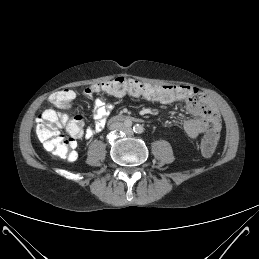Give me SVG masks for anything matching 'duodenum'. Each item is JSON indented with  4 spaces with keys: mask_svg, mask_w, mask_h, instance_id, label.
<instances>
[{
    "mask_svg": "<svg viewBox=\"0 0 259 259\" xmlns=\"http://www.w3.org/2000/svg\"><path fill=\"white\" fill-rule=\"evenodd\" d=\"M137 120L135 117L127 115V114H120L112 117L110 119V123H120V122H128V121H135Z\"/></svg>",
    "mask_w": 259,
    "mask_h": 259,
    "instance_id": "obj_1",
    "label": "duodenum"
}]
</instances>
